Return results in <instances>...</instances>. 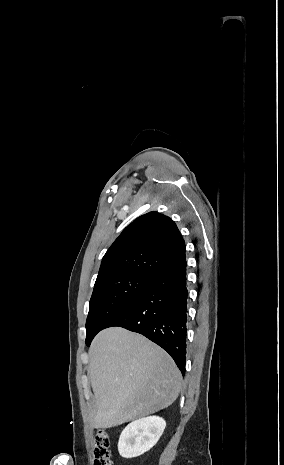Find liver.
<instances>
[{
	"label": "liver",
	"instance_id": "1",
	"mask_svg": "<svg viewBox=\"0 0 284 465\" xmlns=\"http://www.w3.org/2000/svg\"><path fill=\"white\" fill-rule=\"evenodd\" d=\"M89 357L96 399L94 429H110L157 413L180 393L182 377L173 359L137 333L105 329L92 341Z\"/></svg>",
	"mask_w": 284,
	"mask_h": 465
}]
</instances>
